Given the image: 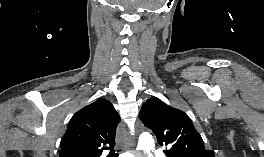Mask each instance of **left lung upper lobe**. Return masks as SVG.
<instances>
[{
	"mask_svg": "<svg viewBox=\"0 0 264 157\" xmlns=\"http://www.w3.org/2000/svg\"><path fill=\"white\" fill-rule=\"evenodd\" d=\"M144 125L157 136L167 157H214L206 150L201 135L190 118L181 110L168 106L158 98L148 99L139 113Z\"/></svg>",
	"mask_w": 264,
	"mask_h": 157,
	"instance_id": "obj_1",
	"label": "left lung upper lobe"
}]
</instances>
